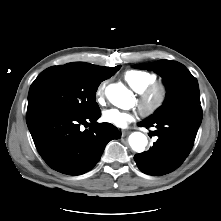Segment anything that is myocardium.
<instances>
[{
  "label": "myocardium",
  "mask_w": 221,
  "mask_h": 221,
  "mask_svg": "<svg viewBox=\"0 0 221 221\" xmlns=\"http://www.w3.org/2000/svg\"><path fill=\"white\" fill-rule=\"evenodd\" d=\"M168 96V87L162 81H154L138 93V108L145 117L159 111Z\"/></svg>",
  "instance_id": "f54148a6"
}]
</instances>
